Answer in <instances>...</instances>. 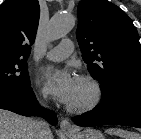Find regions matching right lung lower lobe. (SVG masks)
Returning <instances> with one entry per match:
<instances>
[{"instance_id": "obj_1", "label": "right lung lower lobe", "mask_w": 141, "mask_h": 139, "mask_svg": "<svg viewBox=\"0 0 141 139\" xmlns=\"http://www.w3.org/2000/svg\"><path fill=\"white\" fill-rule=\"evenodd\" d=\"M0 109L10 110L24 116L41 115L53 126L58 123L53 111L39 106L31 87L0 90Z\"/></svg>"}]
</instances>
